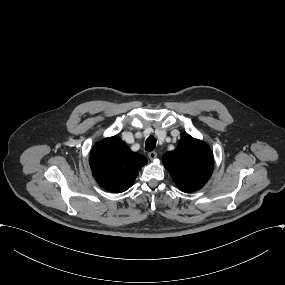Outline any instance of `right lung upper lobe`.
<instances>
[{
    "label": "right lung upper lobe",
    "instance_id": "right-lung-upper-lobe-1",
    "mask_svg": "<svg viewBox=\"0 0 285 285\" xmlns=\"http://www.w3.org/2000/svg\"><path fill=\"white\" fill-rule=\"evenodd\" d=\"M147 159L133 152L119 138L110 137L98 142L90 155V166L100 186L111 192L129 189Z\"/></svg>",
    "mask_w": 285,
    "mask_h": 285
}]
</instances>
